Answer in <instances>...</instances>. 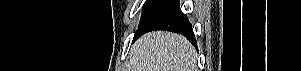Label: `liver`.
I'll list each match as a JSON object with an SVG mask.
<instances>
[{"label": "liver", "instance_id": "liver-1", "mask_svg": "<svg viewBox=\"0 0 301 71\" xmlns=\"http://www.w3.org/2000/svg\"><path fill=\"white\" fill-rule=\"evenodd\" d=\"M196 55L182 35L150 32L132 46L128 71H196Z\"/></svg>", "mask_w": 301, "mask_h": 71}]
</instances>
